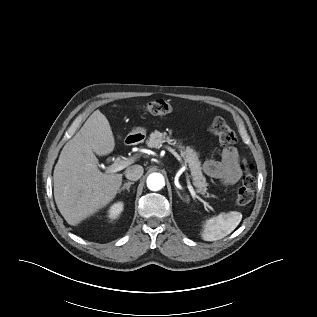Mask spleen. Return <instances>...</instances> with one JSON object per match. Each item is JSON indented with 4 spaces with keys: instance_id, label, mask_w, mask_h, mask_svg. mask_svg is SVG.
I'll return each mask as SVG.
<instances>
[{
    "instance_id": "1",
    "label": "spleen",
    "mask_w": 317,
    "mask_h": 317,
    "mask_svg": "<svg viewBox=\"0 0 317 317\" xmlns=\"http://www.w3.org/2000/svg\"><path fill=\"white\" fill-rule=\"evenodd\" d=\"M242 220V214L237 211L221 213L216 217H211L206 220L202 239L205 241H216L226 237L233 232Z\"/></svg>"
}]
</instances>
